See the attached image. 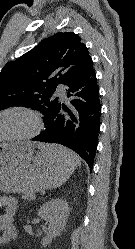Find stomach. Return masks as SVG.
I'll return each mask as SVG.
<instances>
[{"mask_svg":"<svg viewBox=\"0 0 135 249\" xmlns=\"http://www.w3.org/2000/svg\"><path fill=\"white\" fill-rule=\"evenodd\" d=\"M75 167L72 160L61 155L57 145L0 144V191L33 193L56 188L71 176Z\"/></svg>","mask_w":135,"mask_h":249,"instance_id":"stomach-1","label":"stomach"}]
</instances>
